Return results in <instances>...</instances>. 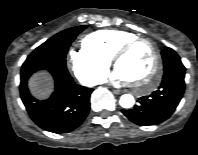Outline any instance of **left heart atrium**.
I'll use <instances>...</instances> for the list:
<instances>
[{
  "instance_id": "obj_1",
  "label": "left heart atrium",
  "mask_w": 198,
  "mask_h": 155,
  "mask_svg": "<svg viewBox=\"0 0 198 155\" xmlns=\"http://www.w3.org/2000/svg\"><path fill=\"white\" fill-rule=\"evenodd\" d=\"M111 79L118 82H127L129 79L118 69L116 68L111 74Z\"/></svg>"
}]
</instances>
